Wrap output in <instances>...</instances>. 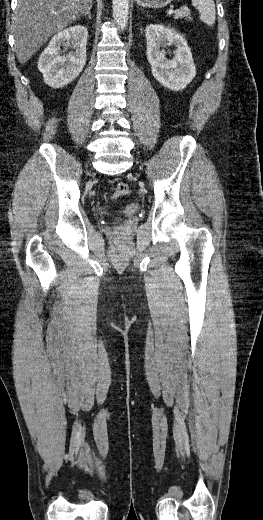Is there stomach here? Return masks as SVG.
Listing matches in <instances>:
<instances>
[{"mask_svg": "<svg viewBox=\"0 0 263 520\" xmlns=\"http://www.w3.org/2000/svg\"><path fill=\"white\" fill-rule=\"evenodd\" d=\"M142 7L162 8L169 5L173 0H135Z\"/></svg>", "mask_w": 263, "mask_h": 520, "instance_id": "stomach-1", "label": "stomach"}]
</instances>
